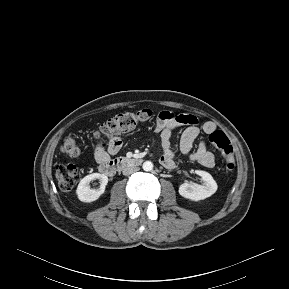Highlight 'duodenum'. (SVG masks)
<instances>
[{
    "mask_svg": "<svg viewBox=\"0 0 289 289\" xmlns=\"http://www.w3.org/2000/svg\"><path fill=\"white\" fill-rule=\"evenodd\" d=\"M142 162L143 160L137 157H119L100 163L99 170L107 176H112L123 169L139 166Z\"/></svg>",
    "mask_w": 289,
    "mask_h": 289,
    "instance_id": "obj_1",
    "label": "duodenum"
}]
</instances>
